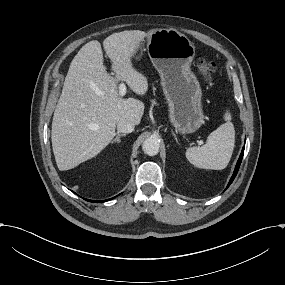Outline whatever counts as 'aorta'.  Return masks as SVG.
Returning <instances> with one entry per match:
<instances>
[{"label": "aorta", "mask_w": 285, "mask_h": 285, "mask_svg": "<svg viewBox=\"0 0 285 285\" xmlns=\"http://www.w3.org/2000/svg\"><path fill=\"white\" fill-rule=\"evenodd\" d=\"M160 148L159 140L156 137L147 138L142 145V150L149 156H155L158 154Z\"/></svg>", "instance_id": "obj_1"}]
</instances>
